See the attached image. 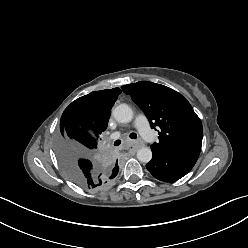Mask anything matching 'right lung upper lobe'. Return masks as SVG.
Instances as JSON below:
<instances>
[{"instance_id": "cb5924a9", "label": "right lung upper lobe", "mask_w": 248, "mask_h": 248, "mask_svg": "<svg viewBox=\"0 0 248 248\" xmlns=\"http://www.w3.org/2000/svg\"><path fill=\"white\" fill-rule=\"evenodd\" d=\"M119 88L94 91L73 101L63 112L60 125L74 124L86 137L87 143L70 142V146L78 145L80 149L95 156H100L98 143L100 135L108 125L111 108L118 95ZM112 173L117 174L118 164L110 159L105 161Z\"/></svg>"}]
</instances>
